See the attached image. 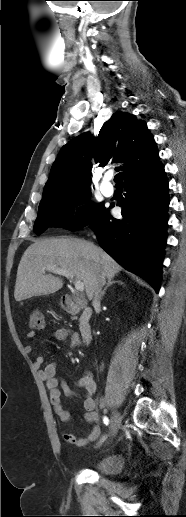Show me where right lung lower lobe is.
Segmentation results:
<instances>
[{"mask_svg": "<svg viewBox=\"0 0 186 517\" xmlns=\"http://www.w3.org/2000/svg\"><path fill=\"white\" fill-rule=\"evenodd\" d=\"M122 219L103 209L91 222L100 246L127 270L146 279L158 293L166 244L168 181L159 161L124 182Z\"/></svg>", "mask_w": 186, "mask_h": 517, "instance_id": "1", "label": "right lung lower lobe"}]
</instances>
